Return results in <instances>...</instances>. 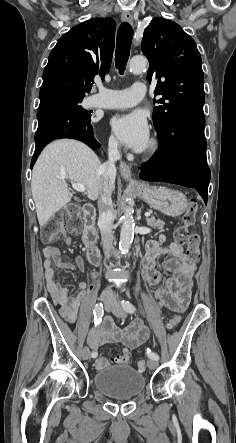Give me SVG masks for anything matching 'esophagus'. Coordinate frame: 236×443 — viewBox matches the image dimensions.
Returning <instances> with one entry per match:
<instances>
[{
    "mask_svg": "<svg viewBox=\"0 0 236 443\" xmlns=\"http://www.w3.org/2000/svg\"><path fill=\"white\" fill-rule=\"evenodd\" d=\"M121 18L124 22L129 24L133 23V17L129 11L122 12ZM119 171L125 180L129 181L130 183H138V181L132 178L131 168L127 163L121 162L119 164Z\"/></svg>",
    "mask_w": 236,
    "mask_h": 443,
    "instance_id": "obj_1",
    "label": "esophagus"
}]
</instances>
